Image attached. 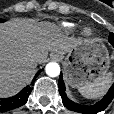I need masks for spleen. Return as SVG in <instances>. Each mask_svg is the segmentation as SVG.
Instances as JSON below:
<instances>
[{"label": "spleen", "instance_id": "obj_1", "mask_svg": "<svg viewBox=\"0 0 114 114\" xmlns=\"http://www.w3.org/2000/svg\"><path fill=\"white\" fill-rule=\"evenodd\" d=\"M112 82V73H108L93 82L84 83L78 90L85 98L99 99L107 92Z\"/></svg>", "mask_w": 114, "mask_h": 114}]
</instances>
